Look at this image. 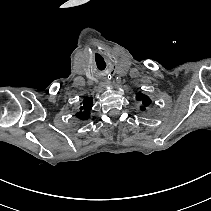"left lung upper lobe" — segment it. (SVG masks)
Instances as JSON below:
<instances>
[{
    "label": "left lung upper lobe",
    "instance_id": "left-lung-upper-lobe-1",
    "mask_svg": "<svg viewBox=\"0 0 211 211\" xmlns=\"http://www.w3.org/2000/svg\"><path fill=\"white\" fill-rule=\"evenodd\" d=\"M136 99L138 101H140L142 103V106H141V110H145L147 106H149V104L151 103V100L148 96L142 94L141 92H138L136 94Z\"/></svg>",
    "mask_w": 211,
    "mask_h": 211
}]
</instances>
